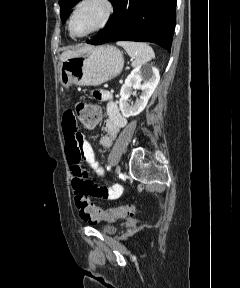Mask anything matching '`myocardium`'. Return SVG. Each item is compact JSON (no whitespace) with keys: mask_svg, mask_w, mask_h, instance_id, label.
Returning a JSON list of instances; mask_svg holds the SVG:
<instances>
[{"mask_svg":"<svg viewBox=\"0 0 240 288\" xmlns=\"http://www.w3.org/2000/svg\"><path fill=\"white\" fill-rule=\"evenodd\" d=\"M93 1L99 2L104 7V15H103V18H102L100 24L97 27H95L94 29H92L91 31L87 32L86 34H83V35L75 34L72 30V22H73V19L76 15L77 11L84 4L89 3V2H93ZM113 13H114V6H113V3L111 2V0H81L74 7L72 14L70 16V19L68 22L69 32L75 38H84V37L90 36L94 33H97L99 31L103 30L109 24V22L113 16Z\"/></svg>","mask_w":240,"mask_h":288,"instance_id":"1","label":"myocardium"}]
</instances>
